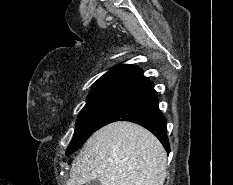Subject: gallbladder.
<instances>
[{
  "instance_id": "1",
  "label": "gallbladder",
  "mask_w": 233,
  "mask_h": 185,
  "mask_svg": "<svg viewBox=\"0 0 233 185\" xmlns=\"http://www.w3.org/2000/svg\"><path fill=\"white\" fill-rule=\"evenodd\" d=\"M85 185H101L100 182L96 179V180H92L89 183H86Z\"/></svg>"
}]
</instances>
